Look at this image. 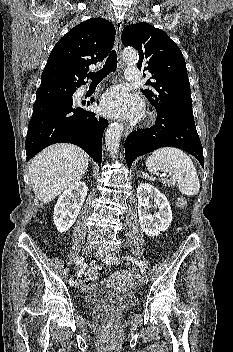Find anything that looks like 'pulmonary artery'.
Segmentation results:
<instances>
[{
  "instance_id": "obj_1",
  "label": "pulmonary artery",
  "mask_w": 233,
  "mask_h": 352,
  "mask_svg": "<svg viewBox=\"0 0 233 352\" xmlns=\"http://www.w3.org/2000/svg\"><path fill=\"white\" fill-rule=\"evenodd\" d=\"M125 78L129 81H136L139 78V71L136 67H128L125 70Z\"/></svg>"
}]
</instances>
